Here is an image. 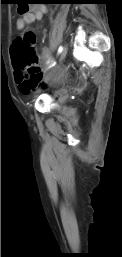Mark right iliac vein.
<instances>
[{
  "label": "right iliac vein",
  "instance_id": "right-iliac-vein-1",
  "mask_svg": "<svg viewBox=\"0 0 122 257\" xmlns=\"http://www.w3.org/2000/svg\"><path fill=\"white\" fill-rule=\"evenodd\" d=\"M67 54V47H65L61 53L60 61H63Z\"/></svg>",
  "mask_w": 122,
  "mask_h": 257
}]
</instances>
